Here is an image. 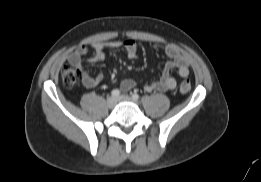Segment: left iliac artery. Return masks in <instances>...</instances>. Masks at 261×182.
<instances>
[{
    "label": "left iliac artery",
    "instance_id": "44dca946",
    "mask_svg": "<svg viewBox=\"0 0 261 182\" xmlns=\"http://www.w3.org/2000/svg\"><path fill=\"white\" fill-rule=\"evenodd\" d=\"M132 99L138 100L139 99V95L137 93L132 94Z\"/></svg>",
    "mask_w": 261,
    "mask_h": 182
}]
</instances>
